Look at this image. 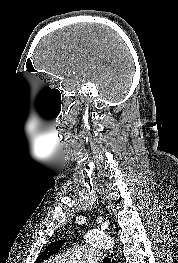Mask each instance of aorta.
Instances as JSON below:
<instances>
[{
  "instance_id": "aorta-1",
  "label": "aorta",
  "mask_w": 178,
  "mask_h": 263,
  "mask_svg": "<svg viewBox=\"0 0 178 263\" xmlns=\"http://www.w3.org/2000/svg\"><path fill=\"white\" fill-rule=\"evenodd\" d=\"M84 238L87 243L100 248L110 249L114 246V240L104 232L90 231Z\"/></svg>"
}]
</instances>
